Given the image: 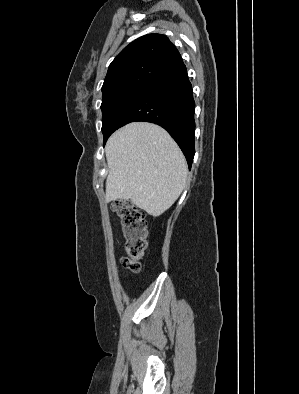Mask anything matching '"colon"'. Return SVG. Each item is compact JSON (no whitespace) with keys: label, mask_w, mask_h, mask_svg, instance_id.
I'll return each instance as SVG.
<instances>
[{"label":"colon","mask_w":299,"mask_h":394,"mask_svg":"<svg viewBox=\"0 0 299 394\" xmlns=\"http://www.w3.org/2000/svg\"><path fill=\"white\" fill-rule=\"evenodd\" d=\"M122 224L126 255L121 259L125 268L137 273L146 249L147 225L143 212L129 201H116L111 205Z\"/></svg>","instance_id":"obj_1"}]
</instances>
